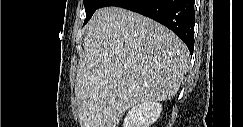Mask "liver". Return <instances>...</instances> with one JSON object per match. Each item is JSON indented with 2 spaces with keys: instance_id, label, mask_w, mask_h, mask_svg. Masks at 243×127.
<instances>
[{
  "instance_id": "1",
  "label": "liver",
  "mask_w": 243,
  "mask_h": 127,
  "mask_svg": "<svg viewBox=\"0 0 243 127\" xmlns=\"http://www.w3.org/2000/svg\"><path fill=\"white\" fill-rule=\"evenodd\" d=\"M76 97L86 127H117L135 104L172 98L190 54L171 30L119 8L98 9L85 27Z\"/></svg>"
}]
</instances>
